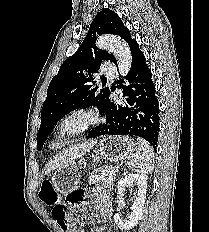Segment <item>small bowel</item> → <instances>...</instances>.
Returning <instances> with one entry per match:
<instances>
[{
	"label": "small bowel",
	"mask_w": 209,
	"mask_h": 232,
	"mask_svg": "<svg viewBox=\"0 0 209 232\" xmlns=\"http://www.w3.org/2000/svg\"><path fill=\"white\" fill-rule=\"evenodd\" d=\"M77 190H69V194H66L64 205L68 209V213H77V208H81L85 205L86 199H88V185H77ZM94 204L104 221L111 218V201L106 192L103 190H97L94 194ZM70 220H74L75 217L71 215ZM65 232H85L78 229L74 224H68L67 228H63ZM95 232H104L103 229L97 228Z\"/></svg>",
	"instance_id": "obj_1"
}]
</instances>
